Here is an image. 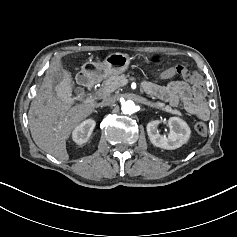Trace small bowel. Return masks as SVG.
<instances>
[{"mask_svg":"<svg viewBox=\"0 0 237 237\" xmlns=\"http://www.w3.org/2000/svg\"><path fill=\"white\" fill-rule=\"evenodd\" d=\"M174 69H168L161 74L162 79H168L175 75ZM172 82L166 86H160L152 82L143 84L144 90L150 95L170 103L172 107L183 106L184 110L191 116L207 120L210 117V108L206 99V87L203 80L194 75L188 81Z\"/></svg>","mask_w":237,"mask_h":237,"instance_id":"1","label":"small bowel"}]
</instances>
